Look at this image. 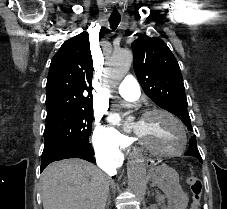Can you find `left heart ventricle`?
<instances>
[{
  "mask_svg": "<svg viewBox=\"0 0 227 209\" xmlns=\"http://www.w3.org/2000/svg\"><path fill=\"white\" fill-rule=\"evenodd\" d=\"M135 133L150 146L170 151L182 144V135L177 125L167 116L156 113L134 124Z\"/></svg>",
  "mask_w": 227,
  "mask_h": 209,
  "instance_id": "left-heart-ventricle-1",
  "label": "left heart ventricle"
}]
</instances>
